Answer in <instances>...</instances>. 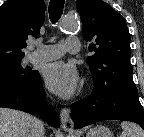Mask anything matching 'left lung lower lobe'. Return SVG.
I'll list each match as a JSON object with an SVG mask.
<instances>
[{"label":"left lung lower lobe","instance_id":"left-lung-lower-lobe-1","mask_svg":"<svg viewBox=\"0 0 144 137\" xmlns=\"http://www.w3.org/2000/svg\"><path fill=\"white\" fill-rule=\"evenodd\" d=\"M74 128L101 120H124L138 123L144 129V110L138 92L118 91L113 93L95 92L71 105Z\"/></svg>","mask_w":144,"mask_h":137}]
</instances>
